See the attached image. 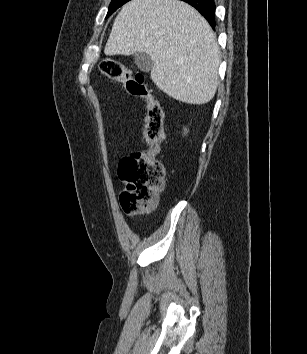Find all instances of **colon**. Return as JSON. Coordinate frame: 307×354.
Returning a JSON list of instances; mask_svg holds the SVG:
<instances>
[{
  "instance_id": "1",
  "label": "colon",
  "mask_w": 307,
  "mask_h": 354,
  "mask_svg": "<svg viewBox=\"0 0 307 354\" xmlns=\"http://www.w3.org/2000/svg\"><path fill=\"white\" fill-rule=\"evenodd\" d=\"M99 68L105 77L123 84L129 94L146 103L144 138L147 149L123 158L118 174L126 183V188L120 195L123 212L128 216L149 212L156 207L164 182V167L157 160L164 137L162 108L149 89L144 75L134 73L111 57L103 59Z\"/></svg>"
}]
</instances>
